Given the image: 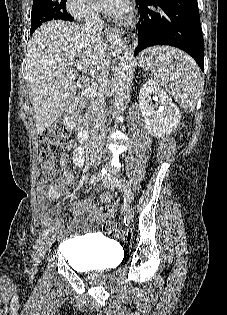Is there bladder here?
I'll return each mask as SVG.
<instances>
[{
  "label": "bladder",
  "mask_w": 227,
  "mask_h": 315,
  "mask_svg": "<svg viewBox=\"0 0 227 315\" xmlns=\"http://www.w3.org/2000/svg\"><path fill=\"white\" fill-rule=\"evenodd\" d=\"M75 254L67 255L69 264L79 270H106L120 263L118 247L105 237L83 235L66 241Z\"/></svg>",
  "instance_id": "31cf9c89"
}]
</instances>
